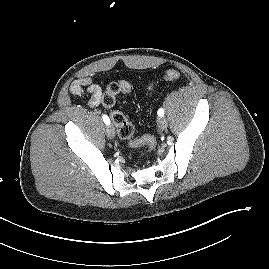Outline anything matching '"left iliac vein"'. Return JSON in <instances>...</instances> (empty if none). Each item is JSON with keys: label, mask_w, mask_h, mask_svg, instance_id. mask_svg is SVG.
Masks as SVG:
<instances>
[{"label": "left iliac vein", "mask_w": 269, "mask_h": 269, "mask_svg": "<svg viewBox=\"0 0 269 269\" xmlns=\"http://www.w3.org/2000/svg\"><path fill=\"white\" fill-rule=\"evenodd\" d=\"M158 127L161 129V130H165L168 126V121L165 117H161L158 119Z\"/></svg>", "instance_id": "4c4485c4"}]
</instances>
